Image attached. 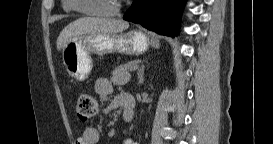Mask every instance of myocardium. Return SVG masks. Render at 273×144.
<instances>
[{
    "instance_id": "obj_1",
    "label": "myocardium",
    "mask_w": 273,
    "mask_h": 144,
    "mask_svg": "<svg viewBox=\"0 0 273 144\" xmlns=\"http://www.w3.org/2000/svg\"><path fill=\"white\" fill-rule=\"evenodd\" d=\"M72 8L84 15H91V16H110L114 15L119 12L120 10V4L116 1V4L113 8L109 10H89L84 8L81 5V0H71Z\"/></svg>"
}]
</instances>
